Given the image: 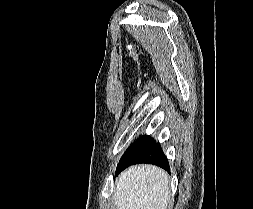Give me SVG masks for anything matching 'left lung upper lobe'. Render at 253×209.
I'll list each match as a JSON object with an SVG mask.
<instances>
[{
  "label": "left lung upper lobe",
  "mask_w": 253,
  "mask_h": 209,
  "mask_svg": "<svg viewBox=\"0 0 253 209\" xmlns=\"http://www.w3.org/2000/svg\"><path fill=\"white\" fill-rule=\"evenodd\" d=\"M153 142H155L154 139L150 138L147 135H144L140 141L134 143L125 151L121 159L130 155L136 156L140 154L142 151L148 148Z\"/></svg>",
  "instance_id": "1"
}]
</instances>
